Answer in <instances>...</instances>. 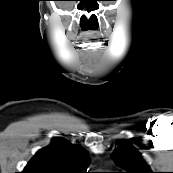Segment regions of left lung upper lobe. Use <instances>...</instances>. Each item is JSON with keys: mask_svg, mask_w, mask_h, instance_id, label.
Here are the masks:
<instances>
[{"mask_svg": "<svg viewBox=\"0 0 173 173\" xmlns=\"http://www.w3.org/2000/svg\"><path fill=\"white\" fill-rule=\"evenodd\" d=\"M112 157L117 165L127 171L125 173H153L140 153L130 144L117 149Z\"/></svg>", "mask_w": 173, "mask_h": 173, "instance_id": "obj_1", "label": "left lung upper lobe"}]
</instances>
